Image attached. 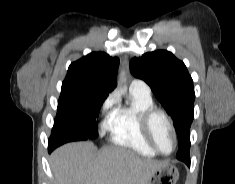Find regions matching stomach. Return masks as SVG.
Returning <instances> with one entry per match:
<instances>
[{"label": "stomach", "instance_id": "obj_1", "mask_svg": "<svg viewBox=\"0 0 235 184\" xmlns=\"http://www.w3.org/2000/svg\"><path fill=\"white\" fill-rule=\"evenodd\" d=\"M179 180V170L166 162L162 164L161 168L155 170L152 178L148 180L147 184H176Z\"/></svg>", "mask_w": 235, "mask_h": 184}]
</instances>
